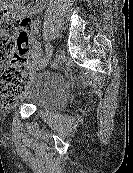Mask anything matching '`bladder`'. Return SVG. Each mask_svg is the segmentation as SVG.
Returning a JSON list of instances; mask_svg holds the SVG:
<instances>
[{
    "label": "bladder",
    "mask_w": 133,
    "mask_h": 173,
    "mask_svg": "<svg viewBox=\"0 0 133 173\" xmlns=\"http://www.w3.org/2000/svg\"><path fill=\"white\" fill-rule=\"evenodd\" d=\"M68 95L65 79L53 71H44L29 79L21 102L41 111L54 112L65 104Z\"/></svg>",
    "instance_id": "obj_1"
}]
</instances>
